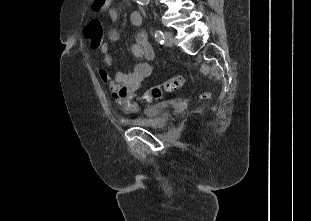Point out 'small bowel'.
<instances>
[{
	"label": "small bowel",
	"instance_id": "obj_1",
	"mask_svg": "<svg viewBox=\"0 0 311 221\" xmlns=\"http://www.w3.org/2000/svg\"><path fill=\"white\" fill-rule=\"evenodd\" d=\"M108 12L113 20H116L120 14L117 7L109 8ZM130 19L133 25H140L142 23V14L139 11H133ZM85 29L87 31L88 25ZM118 39L119 32L116 29H112L108 33L109 43L101 47L103 63L107 67H111L114 62L110 44L117 42ZM131 52L135 58L146 61L137 62L131 71L117 72L114 79L109 76L106 70L102 69L99 71L100 79L108 87L112 99L125 112H136L138 110L135 102L137 92L141 88L142 81L152 73L156 59L154 48L148 41L145 32H139L136 35Z\"/></svg>",
	"mask_w": 311,
	"mask_h": 221
}]
</instances>
